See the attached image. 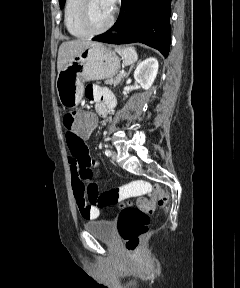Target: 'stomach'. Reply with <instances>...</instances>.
<instances>
[{"instance_id": "0dacf381", "label": "stomach", "mask_w": 240, "mask_h": 288, "mask_svg": "<svg viewBox=\"0 0 240 288\" xmlns=\"http://www.w3.org/2000/svg\"><path fill=\"white\" fill-rule=\"evenodd\" d=\"M120 69L116 53L102 43L93 42L73 57L58 73L56 90L65 108L76 107L84 94V82L112 78Z\"/></svg>"}]
</instances>
